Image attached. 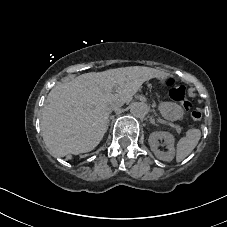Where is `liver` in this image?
Wrapping results in <instances>:
<instances>
[{"mask_svg": "<svg viewBox=\"0 0 227 227\" xmlns=\"http://www.w3.org/2000/svg\"><path fill=\"white\" fill-rule=\"evenodd\" d=\"M157 72L148 67L117 68L56 85L47 95L40 122L48 152L62 158L95 149L107 131L113 88L130 99Z\"/></svg>", "mask_w": 227, "mask_h": 227, "instance_id": "1", "label": "liver"}]
</instances>
